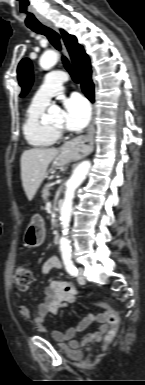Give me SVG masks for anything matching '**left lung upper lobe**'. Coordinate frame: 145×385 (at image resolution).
Listing matches in <instances>:
<instances>
[{
  "mask_svg": "<svg viewBox=\"0 0 145 385\" xmlns=\"http://www.w3.org/2000/svg\"><path fill=\"white\" fill-rule=\"evenodd\" d=\"M19 85L22 88L21 97L25 96L33 83L32 64L29 59L21 60L17 69Z\"/></svg>",
  "mask_w": 145,
  "mask_h": 385,
  "instance_id": "5c2ea615",
  "label": "left lung upper lobe"
}]
</instances>
